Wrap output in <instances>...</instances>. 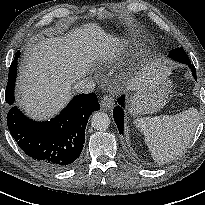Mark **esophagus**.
Here are the masks:
<instances>
[{
  "instance_id": "obj_1",
  "label": "esophagus",
  "mask_w": 205,
  "mask_h": 205,
  "mask_svg": "<svg viewBox=\"0 0 205 205\" xmlns=\"http://www.w3.org/2000/svg\"><path fill=\"white\" fill-rule=\"evenodd\" d=\"M102 108L111 109L114 106V99L112 95H104L100 101Z\"/></svg>"
}]
</instances>
